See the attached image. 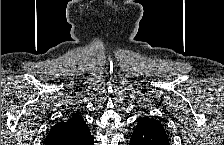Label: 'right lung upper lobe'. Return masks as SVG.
Here are the masks:
<instances>
[{
    "label": "right lung upper lobe",
    "mask_w": 224,
    "mask_h": 145,
    "mask_svg": "<svg viewBox=\"0 0 224 145\" xmlns=\"http://www.w3.org/2000/svg\"><path fill=\"white\" fill-rule=\"evenodd\" d=\"M92 139L93 136L83 118L74 113L50 129L45 145H90Z\"/></svg>",
    "instance_id": "cb5924a9"
}]
</instances>
